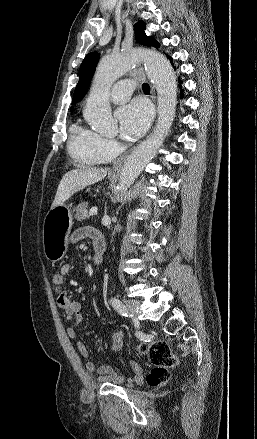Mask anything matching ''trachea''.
Wrapping results in <instances>:
<instances>
[{
	"label": "trachea",
	"mask_w": 257,
	"mask_h": 439,
	"mask_svg": "<svg viewBox=\"0 0 257 439\" xmlns=\"http://www.w3.org/2000/svg\"><path fill=\"white\" fill-rule=\"evenodd\" d=\"M143 92H150V86L147 83L142 85Z\"/></svg>",
	"instance_id": "obj_1"
}]
</instances>
